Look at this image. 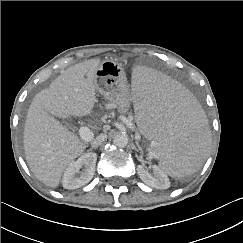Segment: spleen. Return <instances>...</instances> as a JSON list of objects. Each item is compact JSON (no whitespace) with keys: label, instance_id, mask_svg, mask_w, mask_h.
I'll use <instances>...</instances> for the list:
<instances>
[{"label":"spleen","instance_id":"spleen-1","mask_svg":"<svg viewBox=\"0 0 243 243\" xmlns=\"http://www.w3.org/2000/svg\"><path fill=\"white\" fill-rule=\"evenodd\" d=\"M130 105L138 134L171 177L189 175L207 153L209 130L193 97L180 83L153 69L131 75Z\"/></svg>","mask_w":243,"mask_h":243}]
</instances>
